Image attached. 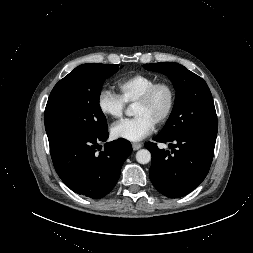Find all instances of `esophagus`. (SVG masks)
<instances>
[{
    "label": "esophagus",
    "mask_w": 253,
    "mask_h": 253,
    "mask_svg": "<svg viewBox=\"0 0 253 253\" xmlns=\"http://www.w3.org/2000/svg\"><path fill=\"white\" fill-rule=\"evenodd\" d=\"M142 147L141 143H132L133 150H138Z\"/></svg>",
    "instance_id": "1"
}]
</instances>
